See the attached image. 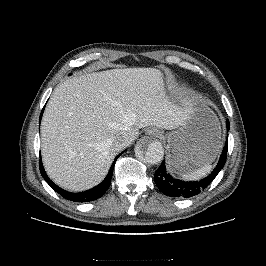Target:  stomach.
<instances>
[{
    "label": "stomach",
    "instance_id": "stomach-1",
    "mask_svg": "<svg viewBox=\"0 0 266 266\" xmlns=\"http://www.w3.org/2000/svg\"><path fill=\"white\" fill-rule=\"evenodd\" d=\"M171 170L192 172L211 163L221 148V127L211 108L196 101L183 124L166 135Z\"/></svg>",
    "mask_w": 266,
    "mask_h": 266
}]
</instances>
